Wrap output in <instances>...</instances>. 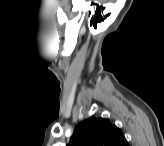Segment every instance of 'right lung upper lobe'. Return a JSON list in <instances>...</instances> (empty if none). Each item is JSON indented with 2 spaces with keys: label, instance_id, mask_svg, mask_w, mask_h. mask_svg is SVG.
Returning a JSON list of instances; mask_svg holds the SVG:
<instances>
[{
  "label": "right lung upper lobe",
  "instance_id": "right-lung-upper-lobe-1",
  "mask_svg": "<svg viewBox=\"0 0 164 146\" xmlns=\"http://www.w3.org/2000/svg\"><path fill=\"white\" fill-rule=\"evenodd\" d=\"M70 146H127L121 131L104 118H89L80 123L70 140Z\"/></svg>",
  "mask_w": 164,
  "mask_h": 146
}]
</instances>
